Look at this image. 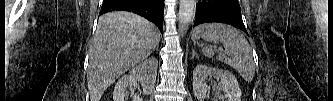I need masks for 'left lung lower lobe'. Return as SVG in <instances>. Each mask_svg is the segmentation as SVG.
<instances>
[{
  "label": "left lung lower lobe",
  "instance_id": "0a47b994",
  "mask_svg": "<svg viewBox=\"0 0 333 101\" xmlns=\"http://www.w3.org/2000/svg\"><path fill=\"white\" fill-rule=\"evenodd\" d=\"M210 22H222L247 33L242 21L238 0H199L196 4L194 25Z\"/></svg>",
  "mask_w": 333,
  "mask_h": 101
}]
</instances>
